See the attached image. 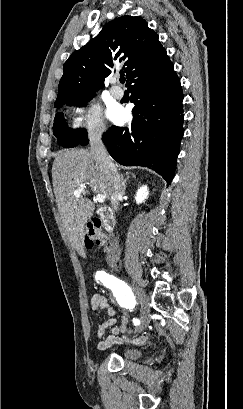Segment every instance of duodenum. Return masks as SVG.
Returning a JSON list of instances; mask_svg holds the SVG:
<instances>
[{"label":"duodenum","instance_id":"obj_1","mask_svg":"<svg viewBox=\"0 0 243 409\" xmlns=\"http://www.w3.org/2000/svg\"><path fill=\"white\" fill-rule=\"evenodd\" d=\"M100 221L107 231H111L114 225L113 212L109 207L103 206L98 209Z\"/></svg>","mask_w":243,"mask_h":409}]
</instances>
